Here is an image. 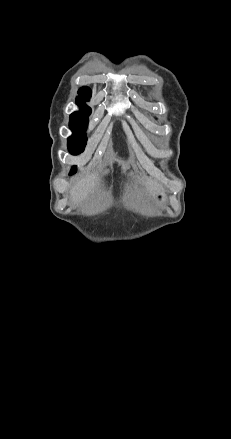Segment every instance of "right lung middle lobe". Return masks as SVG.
<instances>
[{"label":"right lung middle lobe","mask_w":231,"mask_h":439,"mask_svg":"<svg viewBox=\"0 0 231 439\" xmlns=\"http://www.w3.org/2000/svg\"><path fill=\"white\" fill-rule=\"evenodd\" d=\"M90 114H72L70 116V128L73 131V135L68 138V148L73 155H78L85 149L87 143L85 131ZM75 172L76 168L74 167L71 173L74 174Z\"/></svg>","instance_id":"right-lung-middle-lobe-1"}]
</instances>
